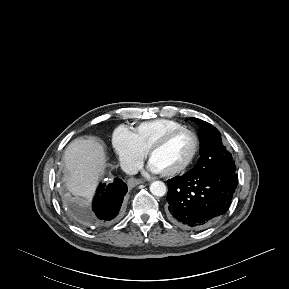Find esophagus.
Instances as JSON below:
<instances>
[{
	"label": "esophagus",
	"mask_w": 289,
	"mask_h": 289,
	"mask_svg": "<svg viewBox=\"0 0 289 289\" xmlns=\"http://www.w3.org/2000/svg\"><path fill=\"white\" fill-rule=\"evenodd\" d=\"M141 183H142V180H141V179H137V178H130V179L128 180V186H129L130 188H133V187H135L136 185L141 184Z\"/></svg>",
	"instance_id": "34e87169"
}]
</instances>
